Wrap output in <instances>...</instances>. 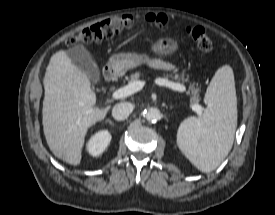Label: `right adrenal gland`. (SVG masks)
Segmentation results:
<instances>
[{"mask_svg": "<svg viewBox=\"0 0 275 215\" xmlns=\"http://www.w3.org/2000/svg\"><path fill=\"white\" fill-rule=\"evenodd\" d=\"M106 122H108L111 126H113V127H114V124L112 123V121H111V120H107Z\"/></svg>", "mask_w": 275, "mask_h": 215, "instance_id": "1", "label": "right adrenal gland"}]
</instances>
